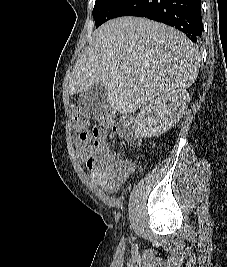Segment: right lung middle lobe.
Masks as SVG:
<instances>
[{
	"label": "right lung middle lobe",
	"instance_id": "obj_1",
	"mask_svg": "<svg viewBox=\"0 0 227 267\" xmlns=\"http://www.w3.org/2000/svg\"><path fill=\"white\" fill-rule=\"evenodd\" d=\"M128 0H96L93 8V18L96 28L109 19L127 3Z\"/></svg>",
	"mask_w": 227,
	"mask_h": 267
}]
</instances>
